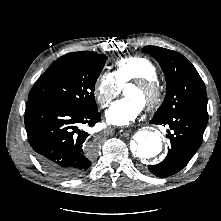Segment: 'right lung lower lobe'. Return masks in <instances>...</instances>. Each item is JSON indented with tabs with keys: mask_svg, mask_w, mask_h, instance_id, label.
Instances as JSON below:
<instances>
[{
	"mask_svg": "<svg viewBox=\"0 0 221 221\" xmlns=\"http://www.w3.org/2000/svg\"><path fill=\"white\" fill-rule=\"evenodd\" d=\"M100 112L78 111L51 101L29 99L25 127L31 147L42 166L52 175L72 179L91 166L95 145L88 144L89 134L79 128L94 126Z\"/></svg>",
	"mask_w": 221,
	"mask_h": 221,
	"instance_id": "obj_1",
	"label": "right lung lower lobe"
}]
</instances>
